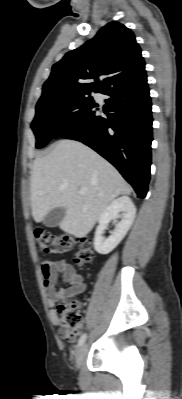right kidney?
Listing matches in <instances>:
<instances>
[{"instance_id":"1","label":"right kidney","mask_w":182,"mask_h":399,"mask_svg":"<svg viewBox=\"0 0 182 399\" xmlns=\"http://www.w3.org/2000/svg\"><path fill=\"white\" fill-rule=\"evenodd\" d=\"M121 213V214H119ZM136 208L128 196L113 200L98 218L99 225L95 231L94 248L99 254H108L122 241L133 224ZM121 218L108 238H104V230L112 219Z\"/></svg>"}]
</instances>
